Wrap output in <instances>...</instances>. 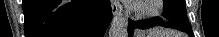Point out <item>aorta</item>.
Segmentation results:
<instances>
[{
	"mask_svg": "<svg viewBox=\"0 0 219 37\" xmlns=\"http://www.w3.org/2000/svg\"><path fill=\"white\" fill-rule=\"evenodd\" d=\"M127 35V19L123 14H118L112 19L109 37H127Z\"/></svg>",
	"mask_w": 219,
	"mask_h": 37,
	"instance_id": "1",
	"label": "aorta"
}]
</instances>
